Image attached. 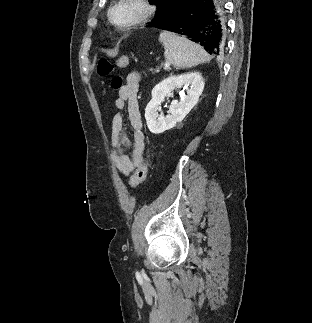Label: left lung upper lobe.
<instances>
[{
    "mask_svg": "<svg viewBox=\"0 0 312 323\" xmlns=\"http://www.w3.org/2000/svg\"><path fill=\"white\" fill-rule=\"evenodd\" d=\"M150 4L157 6L154 19L150 22L152 26H158L164 22L171 13L172 5L176 0H148ZM150 25V26H151Z\"/></svg>",
    "mask_w": 312,
    "mask_h": 323,
    "instance_id": "1",
    "label": "left lung upper lobe"
}]
</instances>
